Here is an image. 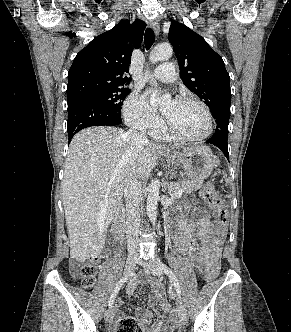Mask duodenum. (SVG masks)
Returning a JSON list of instances; mask_svg holds the SVG:
<instances>
[{
    "label": "duodenum",
    "instance_id": "410a0bca",
    "mask_svg": "<svg viewBox=\"0 0 291 332\" xmlns=\"http://www.w3.org/2000/svg\"><path fill=\"white\" fill-rule=\"evenodd\" d=\"M112 235L118 242H123L125 238L124 214H119L112 225Z\"/></svg>",
    "mask_w": 291,
    "mask_h": 332
}]
</instances>
